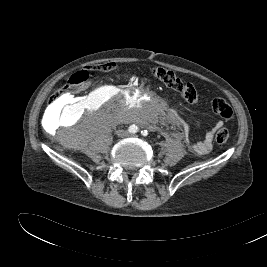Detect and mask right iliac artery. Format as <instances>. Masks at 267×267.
I'll return each mask as SVG.
<instances>
[{"label": "right iliac artery", "mask_w": 267, "mask_h": 267, "mask_svg": "<svg viewBox=\"0 0 267 267\" xmlns=\"http://www.w3.org/2000/svg\"><path fill=\"white\" fill-rule=\"evenodd\" d=\"M128 131L130 133H137L139 131V128L136 125H130Z\"/></svg>", "instance_id": "1"}]
</instances>
